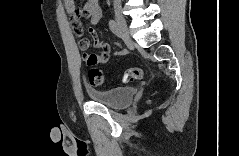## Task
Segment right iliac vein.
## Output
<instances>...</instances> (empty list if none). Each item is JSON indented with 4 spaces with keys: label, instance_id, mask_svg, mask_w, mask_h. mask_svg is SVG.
Listing matches in <instances>:
<instances>
[{
    "label": "right iliac vein",
    "instance_id": "1",
    "mask_svg": "<svg viewBox=\"0 0 239 156\" xmlns=\"http://www.w3.org/2000/svg\"><path fill=\"white\" fill-rule=\"evenodd\" d=\"M114 14H115L116 22H117L121 32L123 33V35L125 36L127 41L130 43L131 39L129 37L128 27H127L125 17L123 16V14L119 8L115 9Z\"/></svg>",
    "mask_w": 239,
    "mask_h": 156
}]
</instances>
